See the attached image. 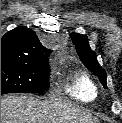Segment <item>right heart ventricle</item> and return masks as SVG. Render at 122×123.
Returning a JSON list of instances; mask_svg holds the SVG:
<instances>
[{
	"label": "right heart ventricle",
	"instance_id": "1",
	"mask_svg": "<svg viewBox=\"0 0 122 123\" xmlns=\"http://www.w3.org/2000/svg\"><path fill=\"white\" fill-rule=\"evenodd\" d=\"M70 98L88 103L97 97V87L91 77L84 72L73 74L63 88Z\"/></svg>",
	"mask_w": 122,
	"mask_h": 123
}]
</instances>
